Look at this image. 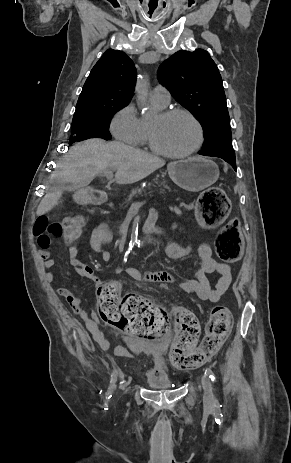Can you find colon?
<instances>
[{
  "label": "colon",
  "mask_w": 291,
  "mask_h": 463,
  "mask_svg": "<svg viewBox=\"0 0 291 463\" xmlns=\"http://www.w3.org/2000/svg\"><path fill=\"white\" fill-rule=\"evenodd\" d=\"M231 203L224 190L211 187L201 193L196 204L199 223L211 228L222 223L228 216ZM83 232V223L76 215L61 222H49L46 216L37 218L34 225L36 237L54 235L65 240L77 239ZM215 249L217 256L226 263H235L241 257L242 238L237 219L231 220L219 231ZM98 314L103 322L128 334L148 339H159L169 329L168 313L141 296L121 295L117 280H109L96 290ZM172 316L176 334L169 352L171 364L181 370L194 369L204 364L228 337L233 316L228 308H213L205 328V336L197 346L200 325L195 315L184 308H175Z\"/></svg>",
  "instance_id": "5ec220e1"
}]
</instances>
